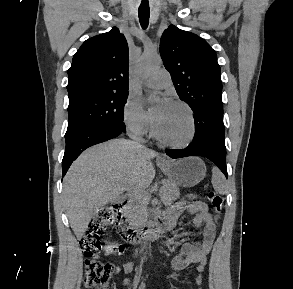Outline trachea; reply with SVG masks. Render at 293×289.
I'll list each match as a JSON object with an SVG mask.
<instances>
[{
  "label": "trachea",
  "instance_id": "obj_1",
  "mask_svg": "<svg viewBox=\"0 0 293 289\" xmlns=\"http://www.w3.org/2000/svg\"><path fill=\"white\" fill-rule=\"evenodd\" d=\"M138 15H139V21L143 29H146L148 27L149 23V16H150V10L139 8L138 9Z\"/></svg>",
  "mask_w": 293,
  "mask_h": 289
}]
</instances>
